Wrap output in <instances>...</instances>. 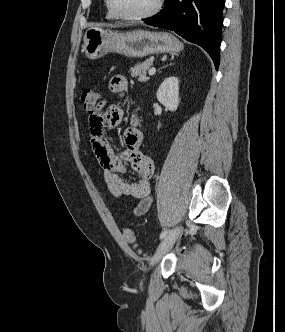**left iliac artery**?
<instances>
[{"label": "left iliac artery", "mask_w": 285, "mask_h": 332, "mask_svg": "<svg viewBox=\"0 0 285 332\" xmlns=\"http://www.w3.org/2000/svg\"><path fill=\"white\" fill-rule=\"evenodd\" d=\"M167 233H168V230H167V229H164V230L161 232V234H160V239L165 238V236L167 235Z\"/></svg>", "instance_id": "left-iliac-artery-1"}]
</instances>
